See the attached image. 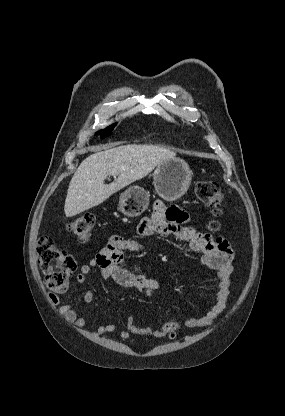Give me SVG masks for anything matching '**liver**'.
Here are the masks:
<instances>
[{
	"instance_id": "liver-1",
	"label": "liver",
	"mask_w": 285,
	"mask_h": 416,
	"mask_svg": "<svg viewBox=\"0 0 285 416\" xmlns=\"http://www.w3.org/2000/svg\"><path fill=\"white\" fill-rule=\"evenodd\" d=\"M114 146L118 144H103L83 150V154H95L83 160L69 184L64 206L66 218L99 206L125 186L148 176L158 164L176 156L175 152L160 146ZM107 176L118 178L112 184H104Z\"/></svg>"
}]
</instances>
